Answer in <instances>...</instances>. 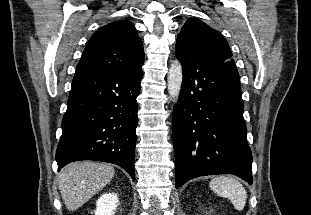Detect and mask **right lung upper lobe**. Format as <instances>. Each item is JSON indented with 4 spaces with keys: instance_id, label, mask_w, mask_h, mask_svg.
Instances as JSON below:
<instances>
[{
    "instance_id": "cb5924a9",
    "label": "right lung upper lobe",
    "mask_w": 311,
    "mask_h": 215,
    "mask_svg": "<svg viewBox=\"0 0 311 215\" xmlns=\"http://www.w3.org/2000/svg\"><path fill=\"white\" fill-rule=\"evenodd\" d=\"M144 51L128 20L109 23L89 39L76 70L133 71L142 67Z\"/></svg>"
}]
</instances>
